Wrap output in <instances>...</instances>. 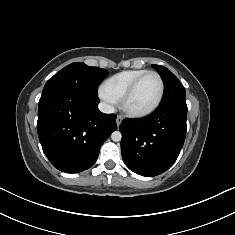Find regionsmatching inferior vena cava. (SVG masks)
Returning a JSON list of instances; mask_svg holds the SVG:
<instances>
[{"instance_id": "inferior-vena-cava-1", "label": "inferior vena cava", "mask_w": 235, "mask_h": 235, "mask_svg": "<svg viewBox=\"0 0 235 235\" xmlns=\"http://www.w3.org/2000/svg\"><path fill=\"white\" fill-rule=\"evenodd\" d=\"M98 107L101 112L106 114L114 113L115 111V108L107 103H99Z\"/></svg>"}]
</instances>
